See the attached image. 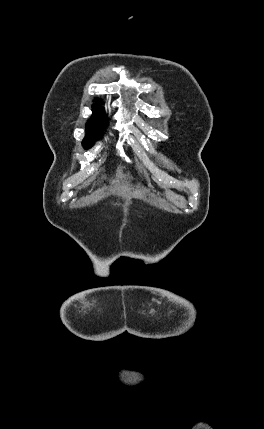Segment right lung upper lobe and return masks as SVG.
<instances>
[{
  "label": "right lung upper lobe",
  "instance_id": "obj_1",
  "mask_svg": "<svg viewBox=\"0 0 264 429\" xmlns=\"http://www.w3.org/2000/svg\"><path fill=\"white\" fill-rule=\"evenodd\" d=\"M95 107H101L100 105L96 104Z\"/></svg>",
  "mask_w": 264,
  "mask_h": 429
}]
</instances>
